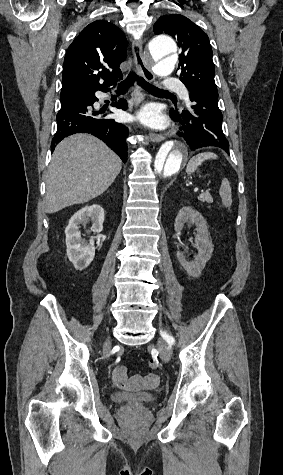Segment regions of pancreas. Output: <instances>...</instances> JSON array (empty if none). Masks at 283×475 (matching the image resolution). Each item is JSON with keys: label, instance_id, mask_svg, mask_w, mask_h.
<instances>
[{"label": "pancreas", "instance_id": "1", "mask_svg": "<svg viewBox=\"0 0 283 475\" xmlns=\"http://www.w3.org/2000/svg\"><path fill=\"white\" fill-rule=\"evenodd\" d=\"M198 200H200V202H207V204H212L213 202V198L210 196V194H200V196H198Z\"/></svg>", "mask_w": 283, "mask_h": 475}]
</instances>
